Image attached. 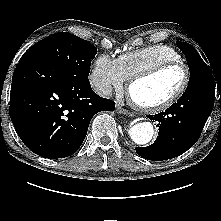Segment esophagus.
Wrapping results in <instances>:
<instances>
[{
	"label": "esophagus",
	"instance_id": "esophagus-1",
	"mask_svg": "<svg viewBox=\"0 0 221 221\" xmlns=\"http://www.w3.org/2000/svg\"><path fill=\"white\" fill-rule=\"evenodd\" d=\"M116 112L120 114H130V112L123 107H121L119 104L116 106Z\"/></svg>",
	"mask_w": 221,
	"mask_h": 221
}]
</instances>
